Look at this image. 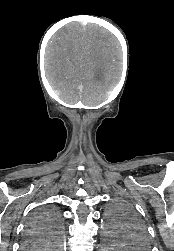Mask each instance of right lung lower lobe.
Here are the masks:
<instances>
[{"label":"right lung lower lobe","instance_id":"98d812e1","mask_svg":"<svg viewBox=\"0 0 174 251\" xmlns=\"http://www.w3.org/2000/svg\"><path fill=\"white\" fill-rule=\"evenodd\" d=\"M26 238V237H25ZM24 248H25V243H24ZM26 250H30V249H27V248H25Z\"/></svg>","mask_w":174,"mask_h":251}]
</instances>
